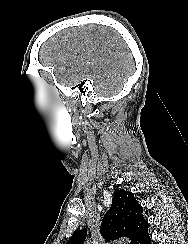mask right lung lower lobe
<instances>
[{
    "mask_svg": "<svg viewBox=\"0 0 188 244\" xmlns=\"http://www.w3.org/2000/svg\"><path fill=\"white\" fill-rule=\"evenodd\" d=\"M136 244H151V239L149 237L148 230L144 233L141 239L136 242Z\"/></svg>",
    "mask_w": 188,
    "mask_h": 244,
    "instance_id": "right-lung-lower-lobe-1",
    "label": "right lung lower lobe"
}]
</instances>
